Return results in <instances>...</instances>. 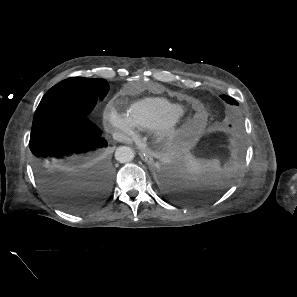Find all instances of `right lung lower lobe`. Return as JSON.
I'll return each instance as SVG.
<instances>
[{
	"label": "right lung lower lobe",
	"instance_id": "obj_1",
	"mask_svg": "<svg viewBox=\"0 0 297 297\" xmlns=\"http://www.w3.org/2000/svg\"><path fill=\"white\" fill-rule=\"evenodd\" d=\"M101 134L86 115L78 113L32 127L29 146L35 175L61 209L90 211L108 197L114 172Z\"/></svg>",
	"mask_w": 297,
	"mask_h": 297
}]
</instances>
